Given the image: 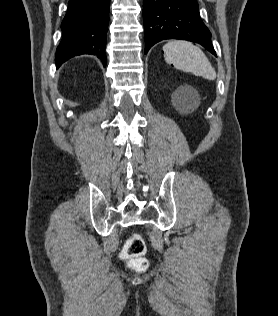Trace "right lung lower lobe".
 Returning a JSON list of instances; mask_svg holds the SVG:
<instances>
[{
  "instance_id": "right-lung-lower-lobe-1",
  "label": "right lung lower lobe",
  "mask_w": 278,
  "mask_h": 316,
  "mask_svg": "<svg viewBox=\"0 0 278 316\" xmlns=\"http://www.w3.org/2000/svg\"><path fill=\"white\" fill-rule=\"evenodd\" d=\"M110 0H69L62 21V40L56 51L57 68L71 57L96 55L105 67Z\"/></svg>"
}]
</instances>
